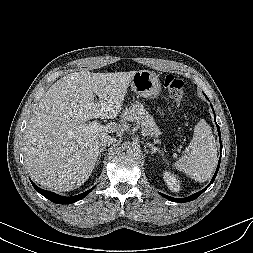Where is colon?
<instances>
[{
  "instance_id": "colon-1",
  "label": "colon",
  "mask_w": 253,
  "mask_h": 253,
  "mask_svg": "<svg viewBox=\"0 0 253 253\" xmlns=\"http://www.w3.org/2000/svg\"><path fill=\"white\" fill-rule=\"evenodd\" d=\"M164 86L168 90L173 100L180 104L184 100V82L172 74L164 77Z\"/></svg>"
}]
</instances>
